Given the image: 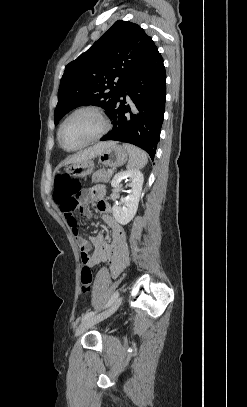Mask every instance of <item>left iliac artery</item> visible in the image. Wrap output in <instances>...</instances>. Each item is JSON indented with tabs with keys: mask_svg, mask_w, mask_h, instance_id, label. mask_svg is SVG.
<instances>
[{
	"mask_svg": "<svg viewBox=\"0 0 247 407\" xmlns=\"http://www.w3.org/2000/svg\"><path fill=\"white\" fill-rule=\"evenodd\" d=\"M118 296H119V292L116 291V292L113 294V296L111 297V299L108 301V303L106 304L105 307L107 308V307L111 306V305L115 302V300L118 298ZM95 313H96V312H93V311L87 312V313L82 317V321L85 320V319H88V318H90V317H92V316H94Z\"/></svg>",
	"mask_w": 247,
	"mask_h": 407,
	"instance_id": "left-iliac-artery-1",
	"label": "left iliac artery"
}]
</instances>
